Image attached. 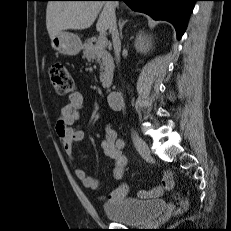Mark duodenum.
I'll use <instances>...</instances> for the list:
<instances>
[{"label":"duodenum","instance_id":"duodenum-1","mask_svg":"<svg viewBox=\"0 0 231 231\" xmlns=\"http://www.w3.org/2000/svg\"><path fill=\"white\" fill-rule=\"evenodd\" d=\"M107 101L109 106L114 110H119L122 108V92L121 91H111L107 96Z\"/></svg>","mask_w":231,"mask_h":231}]
</instances>
